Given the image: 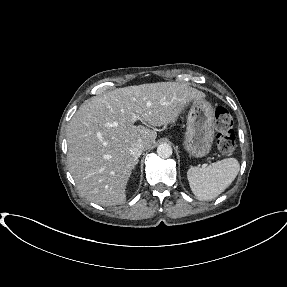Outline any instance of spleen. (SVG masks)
Instances as JSON below:
<instances>
[{"instance_id": "spleen-1", "label": "spleen", "mask_w": 287, "mask_h": 287, "mask_svg": "<svg viewBox=\"0 0 287 287\" xmlns=\"http://www.w3.org/2000/svg\"><path fill=\"white\" fill-rule=\"evenodd\" d=\"M240 164L235 158L214 162L206 168L192 166L187 171L190 188L197 199L208 201L220 195L236 178Z\"/></svg>"}]
</instances>
